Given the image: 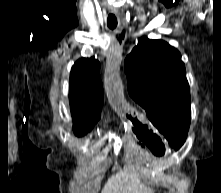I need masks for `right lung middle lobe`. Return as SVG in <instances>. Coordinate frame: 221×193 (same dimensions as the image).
I'll return each mask as SVG.
<instances>
[{
  "label": "right lung middle lobe",
  "mask_w": 221,
  "mask_h": 193,
  "mask_svg": "<svg viewBox=\"0 0 221 193\" xmlns=\"http://www.w3.org/2000/svg\"><path fill=\"white\" fill-rule=\"evenodd\" d=\"M94 125L88 126V127H84L82 129H80L77 132H74L76 136H83L85 135L88 131H90L93 128Z\"/></svg>",
  "instance_id": "right-lung-middle-lobe-1"
}]
</instances>
